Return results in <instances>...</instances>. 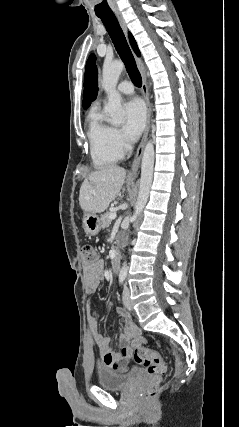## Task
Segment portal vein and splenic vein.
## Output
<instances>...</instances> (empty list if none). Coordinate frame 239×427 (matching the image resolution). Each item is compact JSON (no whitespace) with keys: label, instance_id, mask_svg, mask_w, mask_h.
Masks as SVG:
<instances>
[{"label":"portal vein and splenic vein","instance_id":"portal-vein-and-splenic-vein-1","mask_svg":"<svg viewBox=\"0 0 239 427\" xmlns=\"http://www.w3.org/2000/svg\"><path fill=\"white\" fill-rule=\"evenodd\" d=\"M116 212H112L111 214H110V216H109V218L111 219V220H114L115 218H116Z\"/></svg>","mask_w":239,"mask_h":427}]
</instances>
